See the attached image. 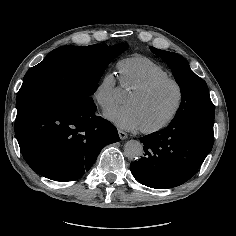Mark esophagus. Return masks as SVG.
I'll list each match as a JSON object with an SVG mask.
<instances>
[{
	"instance_id": "1",
	"label": "esophagus",
	"mask_w": 236,
	"mask_h": 236,
	"mask_svg": "<svg viewBox=\"0 0 236 236\" xmlns=\"http://www.w3.org/2000/svg\"><path fill=\"white\" fill-rule=\"evenodd\" d=\"M118 134H119L120 139L122 140H125L128 137L127 133L123 132L122 130H118Z\"/></svg>"
}]
</instances>
